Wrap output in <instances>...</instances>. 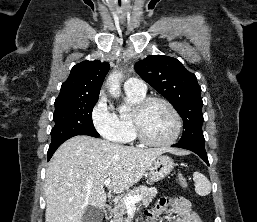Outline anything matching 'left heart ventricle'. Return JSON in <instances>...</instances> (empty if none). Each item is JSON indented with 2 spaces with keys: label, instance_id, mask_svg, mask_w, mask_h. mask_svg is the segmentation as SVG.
Here are the masks:
<instances>
[{
  "label": "left heart ventricle",
  "instance_id": "1",
  "mask_svg": "<svg viewBox=\"0 0 257 222\" xmlns=\"http://www.w3.org/2000/svg\"><path fill=\"white\" fill-rule=\"evenodd\" d=\"M142 127L149 139L164 141L173 135L175 121L172 113L165 105L155 103L145 112Z\"/></svg>",
  "mask_w": 257,
  "mask_h": 222
}]
</instances>
